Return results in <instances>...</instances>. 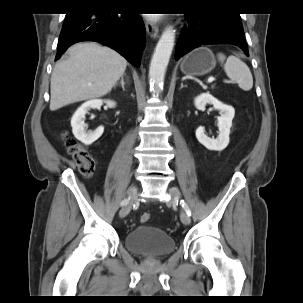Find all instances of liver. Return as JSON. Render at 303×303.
<instances>
[{
    "instance_id": "obj_1",
    "label": "liver",
    "mask_w": 303,
    "mask_h": 303,
    "mask_svg": "<svg viewBox=\"0 0 303 303\" xmlns=\"http://www.w3.org/2000/svg\"><path fill=\"white\" fill-rule=\"evenodd\" d=\"M51 75L50 110L106 95L123 75L127 61L97 43H78L67 51Z\"/></svg>"
}]
</instances>
